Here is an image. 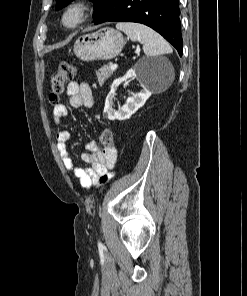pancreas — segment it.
Masks as SVG:
<instances>
[{
  "mask_svg": "<svg viewBox=\"0 0 247 296\" xmlns=\"http://www.w3.org/2000/svg\"><path fill=\"white\" fill-rule=\"evenodd\" d=\"M114 71L115 70L110 69L109 65H104L98 71H96L99 85H103L105 80L108 79Z\"/></svg>",
  "mask_w": 247,
  "mask_h": 296,
  "instance_id": "pancreas-1",
  "label": "pancreas"
}]
</instances>
